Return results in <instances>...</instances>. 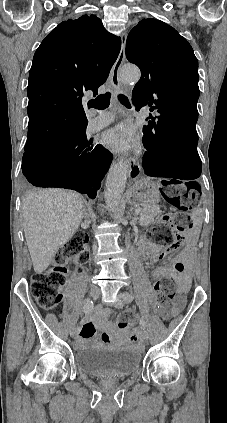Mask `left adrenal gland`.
Wrapping results in <instances>:
<instances>
[{
  "label": "left adrenal gland",
  "instance_id": "left-adrenal-gland-1",
  "mask_svg": "<svg viewBox=\"0 0 227 423\" xmlns=\"http://www.w3.org/2000/svg\"><path fill=\"white\" fill-rule=\"evenodd\" d=\"M135 210H136V204H131L130 211L131 213H133V215H136Z\"/></svg>",
  "mask_w": 227,
  "mask_h": 423
}]
</instances>
